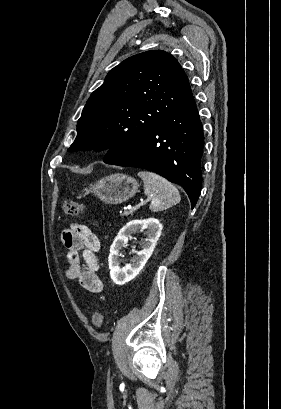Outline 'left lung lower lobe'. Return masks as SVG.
Instances as JSON below:
<instances>
[{
	"label": "left lung lower lobe",
	"instance_id": "obj_1",
	"mask_svg": "<svg viewBox=\"0 0 281 409\" xmlns=\"http://www.w3.org/2000/svg\"><path fill=\"white\" fill-rule=\"evenodd\" d=\"M204 135L191 96L108 164L139 167L180 184L191 207L201 191Z\"/></svg>",
	"mask_w": 281,
	"mask_h": 409
}]
</instances>
